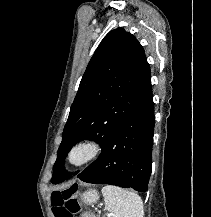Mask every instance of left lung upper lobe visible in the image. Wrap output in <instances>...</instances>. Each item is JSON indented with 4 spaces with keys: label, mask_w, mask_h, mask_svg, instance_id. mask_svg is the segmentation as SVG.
<instances>
[{
    "label": "left lung upper lobe",
    "mask_w": 211,
    "mask_h": 217,
    "mask_svg": "<svg viewBox=\"0 0 211 217\" xmlns=\"http://www.w3.org/2000/svg\"><path fill=\"white\" fill-rule=\"evenodd\" d=\"M151 94L150 65L143 47L123 28L110 31L93 54L80 82L51 182L56 184L70 178V173L64 170V160L72 146L90 139L103 147L116 126Z\"/></svg>",
    "instance_id": "5c2ea615"
}]
</instances>
